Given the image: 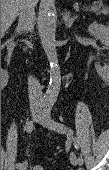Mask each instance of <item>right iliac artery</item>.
Returning a JSON list of instances; mask_svg holds the SVG:
<instances>
[{
    "instance_id": "obj_1",
    "label": "right iliac artery",
    "mask_w": 109,
    "mask_h": 170,
    "mask_svg": "<svg viewBox=\"0 0 109 170\" xmlns=\"http://www.w3.org/2000/svg\"><path fill=\"white\" fill-rule=\"evenodd\" d=\"M25 130L29 134L32 132V130H33V122L32 121H27L26 122ZM16 166L18 168L19 166H21V163H17Z\"/></svg>"
}]
</instances>
